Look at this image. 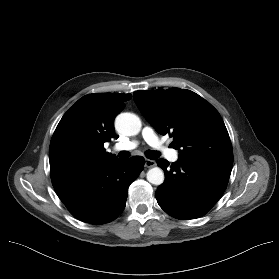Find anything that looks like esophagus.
Masks as SVG:
<instances>
[{
  "label": "esophagus",
  "instance_id": "34e87169",
  "mask_svg": "<svg viewBox=\"0 0 279 279\" xmlns=\"http://www.w3.org/2000/svg\"><path fill=\"white\" fill-rule=\"evenodd\" d=\"M154 166H156V161L150 159L145 160V167L152 168Z\"/></svg>",
  "mask_w": 279,
  "mask_h": 279
}]
</instances>
